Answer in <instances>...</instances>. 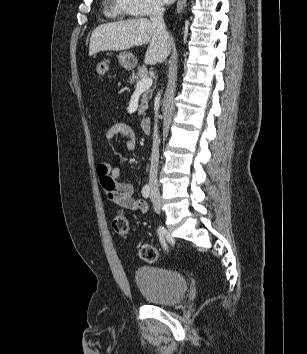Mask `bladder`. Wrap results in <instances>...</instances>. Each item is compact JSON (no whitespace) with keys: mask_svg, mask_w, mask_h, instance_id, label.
Here are the masks:
<instances>
[{"mask_svg":"<svg viewBox=\"0 0 307 354\" xmlns=\"http://www.w3.org/2000/svg\"><path fill=\"white\" fill-rule=\"evenodd\" d=\"M134 278L144 298L153 304L173 305L184 297L187 280L179 271L143 265L136 268Z\"/></svg>","mask_w":307,"mask_h":354,"instance_id":"bladder-1","label":"bladder"}]
</instances>
